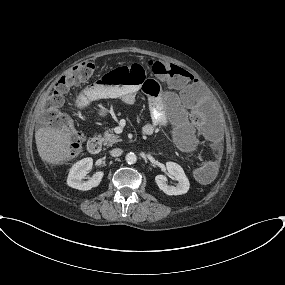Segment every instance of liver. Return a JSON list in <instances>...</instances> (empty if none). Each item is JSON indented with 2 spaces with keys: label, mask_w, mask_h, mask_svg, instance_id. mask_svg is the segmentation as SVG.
I'll list each match as a JSON object with an SVG mask.
<instances>
[{
  "label": "liver",
  "mask_w": 285,
  "mask_h": 285,
  "mask_svg": "<svg viewBox=\"0 0 285 285\" xmlns=\"http://www.w3.org/2000/svg\"><path fill=\"white\" fill-rule=\"evenodd\" d=\"M35 139L42 161L51 165H60L71 159L73 138L67 126L41 127L36 131Z\"/></svg>",
  "instance_id": "1"
}]
</instances>
